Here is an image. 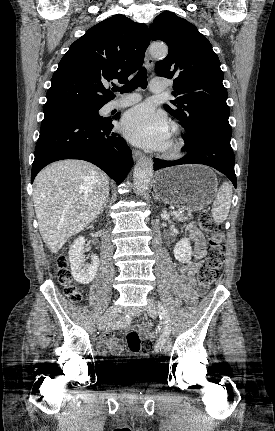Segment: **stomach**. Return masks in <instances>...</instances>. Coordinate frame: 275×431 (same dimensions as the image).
Segmentation results:
<instances>
[{
	"label": "stomach",
	"mask_w": 275,
	"mask_h": 431,
	"mask_svg": "<svg viewBox=\"0 0 275 431\" xmlns=\"http://www.w3.org/2000/svg\"><path fill=\"white\" fill-rule=\"evenodd\" d=\"M217 187L215 173L201 165L163 169L157 173L154 186L163 202L189 211H199L208 206Z\"/></svg>",
	"instance_id": "1"
}]
</instances>
